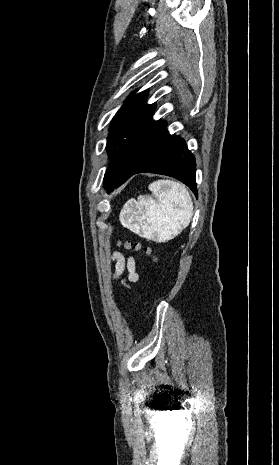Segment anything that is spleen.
I'll list each match as a JSON object with an SVG mask.
<instances>
[{
    "label": "spleen",
    "mask_w": 279,
    "mask_h": 465,
    "mask_svg": "<svg viewBox=\"0 0 279 465\" xmlns=\"http://www.w3.org/2000/svg\"><path fill=\"white\" fill-rule=\"evenodd\" d=\"M149 190L156 199L140 195L128 200L119 219L123 227L141 237L166 242L189 225L193 202L186 187L175 181H155Z\"/></svg>",
    "instance_id": "spleen-1"
}]
</instances>
